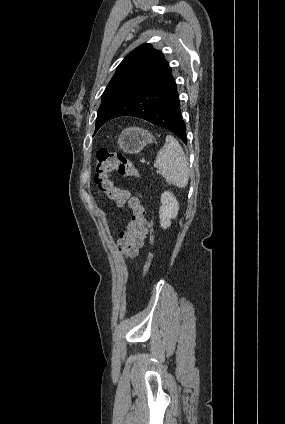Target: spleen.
I'll list each match as a JSON object with an SVG mask.
<instances>
[{
    "mask_svg": "<svg viewBox=\"0 0 285 424\" xmlns=\"http://www.w3.org/2000/svg\"><path fill=\"white\" fill-rule=\"evenodd\" d=\"M154 166L169 184L179 188L188 184L189 164L181 145L172 135L166 136L165 144L158 152Z\"/></svg>",
    "mask_w": 285,
    "mask_h": 424,
    "instance_id": "spleen-1",
    "label": "spleen"
}]
</instances>
